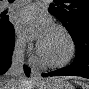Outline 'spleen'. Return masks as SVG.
Here are the masks:
<instances>
[{"instance_id": "obj_1", "label": "spleen", "mask_w": 89, "mask_h": 89, "mask_svg": "<svg viewBox=\"0 0 89 89\" xmlns=\"http://www.w3.org/2000/svg\"><path fill=\"white\" fill-rule=\"evenodd\" d=\"M82 86H83V89H88V85L83 84Z\"/></svg>"}]
</instances>
